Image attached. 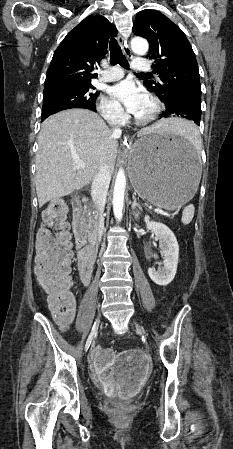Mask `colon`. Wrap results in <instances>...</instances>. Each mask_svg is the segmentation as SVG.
I'll list each match as a JSON object with an SVG mask.
<instances>
[{"instance_id": "5ec220e1", "label": "colon", "mask_w": 233, "mask_h": 449, "mask_svg": "<svg viewBox=\"0 0 233 449\" xmlns=\"http://www.w3.org/2000/svg\"><path fill=\"white\" fill-rule=\"evenodd\" d=\"M67 212L64 199L52 201L44 211L43 225L37 235L35 273L53 312L59 318L70 316L75 303Z\"/></svg>"}]
</instances>
